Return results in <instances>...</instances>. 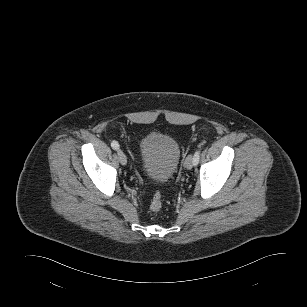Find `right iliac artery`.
Instances as JSON below:
<instances>
[{"label":"right iliac artery","instance_id":"1","mask_svg":"<svg viewBox=\"0 0 307 307\" xmlns=\"http://www.w3.org/2000/svg\"><path fill=\"white\" fill-rule=\"evenodd\" d=\"M111 147H112L114 150H118V149H119V144H118V142H117V141H112Z\"/></svg>","mask_w":307,"mask_h":307}]
</instances>
